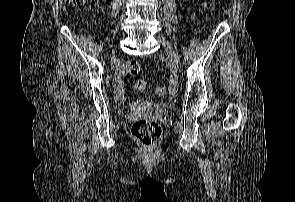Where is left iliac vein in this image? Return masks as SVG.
Returning <instances> with one entry per match:
<instances>
[{
	"label": "left iliac vein",
	"mask_w": 295,
	"mask_h": 202,
	"mask_svg": "<svg viewBox=\"0 0 295 202\" xmlns=\"http://www.w3.org/2000/svg\"><path fill=\"white\" fill-rule=\"evenodd\" d=\"M159 41L162 43V45L165 47V50L167 52L169 61L171 65L175 68L179 67V58L176 54L175 50L173 49L172 45L165 40L163 37H159Z\"/></svg>",
	"instance_id": "1"
}]
</instances>
